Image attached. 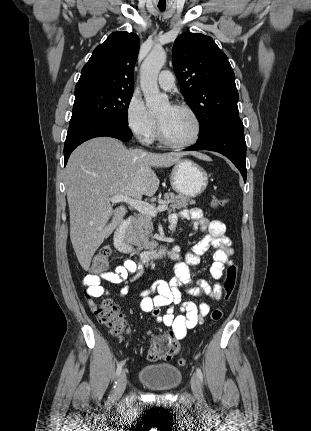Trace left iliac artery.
<instances>
[{
	"label": "left iliac artery",
	"instance_id": "1",
	"mask_svg": "<svg viewBox=\"0 0 311 431\" xmlns=\"http://www.w3.org/2000/svg\"><path fill=\"white\" fill-rule=\"evenodd\" d=\"M196 372H197V375L199 377L200 382L202 383L203 382V374H202L201 369L197 368Z\"/></svg>",
	"mask_w": 311,
	"mask_h": 431
}]
</instances>
